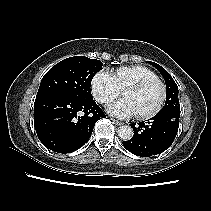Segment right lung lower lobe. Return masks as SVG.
<instances>
[{"mask_svg":"<svg viewBox=\"0 0 211 211\" xmlns=\"http://www.w3.org/2000/svg\"><path fill=\"white\" fill-rule=\"evenodd\" d=\"M102 117L106 116L92 98L51 96L35 99L34 103L37 136L58 153H71L83 146Z\"/></svg>","mask_w":211,"mask_h":211,"instance_id":"right-lung-lower-lobe-1","label":"right lung lower lobe"}]
</instances>
